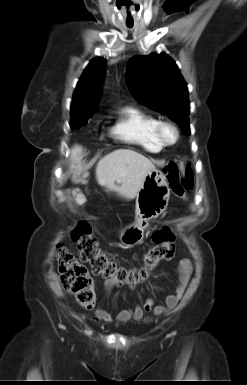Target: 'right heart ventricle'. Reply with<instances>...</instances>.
I'll list each match as a JSON object with an SVG mask.
<instances>
[{
  "instance_id": "e07e8e85",
  "label": "right heart ventricle",
  "mask_w": 247,
  "mask_h": 385,
  "mask_svg": "<svg viewBox=\"0 0 247 385\" xmlns=\"http://www.w3.org/2000/svg\"><path fill=\"white\" fill-rule=\"evenodd\" d=\"M158 122L155 116L137 107L127 106L119 111L111 132L124 142L137 145L150 153H158L163 148L155 136Z\"/></svg>"
}]
</instances>
